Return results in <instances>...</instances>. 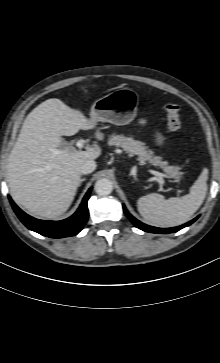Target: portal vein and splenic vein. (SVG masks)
Wrapping results in <instances>:
<instances>
[{"instance_id":"portal-vein-and-splenic-vein-1","label":"portal vein and splenic vein","mask_w":220,"mask_h":363,"mask_svg":"<svg viewBox=\"0 0 220 363\" xmlns=\"http://www.w3.org/2000/svg\"><path fill=\"white\" fill-rule=\"evenodd\" d=\"M76 146H77V148H79V149L83 148V146H84V142H83V140H78V141L76 142ZM51 151H52V153H53L54 155H59V154H61V151H60V150H58V149H51ZM149 172H150L151 174H153V175L157 176V177H160V178H169V179H171V177H170V176H168L167 174H164V173H161V172H158V171L149 170ZM171 181H172V180H171ZM172 182H173V181H172ZM177 192H178V193H182V190H180V189L177 187Z\"/></svg>"}]
</instances>
